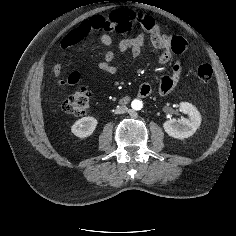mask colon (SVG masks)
Listing matches in <instances>:
<instances>
[{
	"mask_svg": "<svg viewBox=\"0 0 236 236\" xmlns=\"http://www.w3.org/2000/svg\"><path fill=\"white\" fill-rule=\"evenodd\" d=\"M149 16L142 13H135L126 9L114 11L108 18L96 16L82 23L78 28L72 31L68 36L72 43L82 40L91 31H113L119 35L131 33L135 28L140 27ZM213 70L211 65L202 64L197 69L198 80L202 84L211 81ZM90 92L86 87L78 88L63 102V110L74 116H83L86 114L90 104Z\"/></svg>",
	"mask_w": 236,
	"mask_h": 236,
	"instance_id": "colon-1",
	"label": "colon"
}]
</instances>
